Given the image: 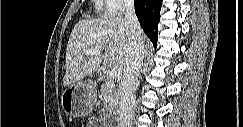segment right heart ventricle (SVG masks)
Here are the masks:
<instances>
[{"mask_svg": "<svg viewBox=\"0 0 243 127\" xmlns=\"http://www.w3.org/2000/svg\"><path fill=\"white\" fill-rule=\"evenodd\" d=\"M106 8H107V3H106ZM97 9L98 11H102L104 9V2H98Z\"/></svg>", "mask_w": 243, "mask_h": 127, "instance_id": "1", "label": "right heart ventricle"}]
</instances>
